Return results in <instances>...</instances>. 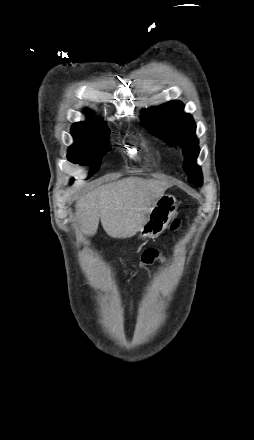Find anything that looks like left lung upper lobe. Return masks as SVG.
Here are the masks:
<instances>
[{
  "instance_id": "left-lung-upper-lobe-1",
  "label": "left lung upper lobe",
  "mask_w": 254,
  "mask_h": 440,
  "mask_svg": "<svg viewBox=\"0 0 254 440\" xmlns=\"http://www.w3.org/2000/svg\"><path fill=\"white\" fill-rule=\"evenodd\" d=\"M183 108L181 102L170 101L162 106L144 110L142 123L156 136L181 146L188 181L200 185L201 169L195 164L199 154L198 139L195 136L196 125L193 118L183 112Z\"/></svg>"
}]
</instances>
